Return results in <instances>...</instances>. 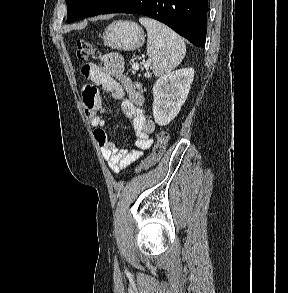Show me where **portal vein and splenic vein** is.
<instances>
[{
    "label": "portal vein and splenic vein",
    "mask_w": 288,
    "mask_h": 293,
    "mask_svg": "<svg viewBox=\"0 0 288 293\" xmlns=\"http://www.w3.org/2000/svg\"><path fill=\"white\" fill-rule=\"evenodd\" d=\"M151 62L150 61H147V63L144 64V67L145 68H148L150 66ZM132 69L134 70H138L139 69V65L138 64H133L132 65Z\"/></svg>",
    "instance_id": "obj_1"
}]
</instances>
